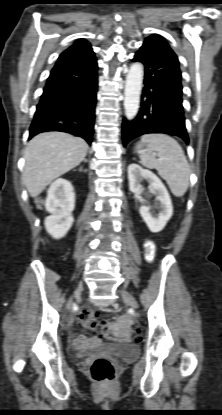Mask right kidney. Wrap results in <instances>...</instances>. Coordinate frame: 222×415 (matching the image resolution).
Here are the masks:
<instances>
[{"label":"right kidney","mask_w":222,"mask_h":415,"mask_svg":"<svg viewBox=\"0 0 222 415\" xmlns=\"http://www.w3.org/2000/svg\"><path fill=\"white\" fill-rule=\"evenodd\" d=\"M45 207L51 214L44 221L47 232L55 239L65 236L74 221L75 193L72 184L62 178L54 181L48 189Z\"/></svg>","instance_id":"ca27d5eb"}]
</instances>
